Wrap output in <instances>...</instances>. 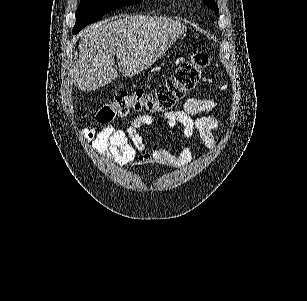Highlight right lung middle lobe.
Segmentation results:
<instances>
[{
    "mask_svg": "<svg viewBox=\"0 0 307 301\" xmlns=\"http://www.w3.org/2000/svg\"><path fill=\"white\" fill-rule=\"evenodd\" d=\"M142 0H81L76 11V24L73 34L78 33L86 25L95 22L115 9L138 4Z\"/></svg>",
    "mask_w": 307,
    "mask_h": 301,
    "instance_id": "1",
    "label": "right lung middle lobe"
}]
</instances>
